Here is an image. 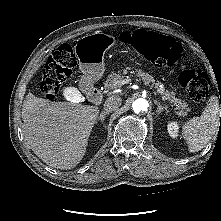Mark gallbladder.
Wrapping results in <instances>:
<instances>
[{
    "instance_id": "1",
    "label": "gallbladder",
    "mask_w": 221,
    "mask_h": 221,
    "mask_svg": "<svg viewBox=\"0 0 221 221\" xmlns=\"http://www.w3.org/2000/svg\"><path fill=\"white\" fill-rule=\"evenodd\" d=\"M58 93L60 97L67 99L69 103L78 106L82 104L84 97L79 90L69 84L60 86Z\"/></svg>"
}]
</instances>
